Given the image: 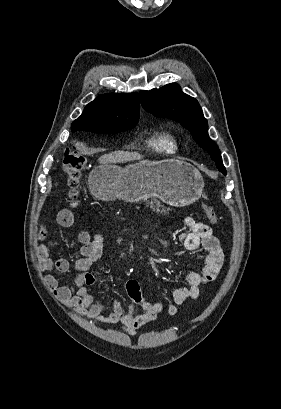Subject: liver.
Segmentation results:
<instances>
[{"mask_svg": "<svg viewBox=\"0 0 281 409\" xmlns=\"http://www.w3.org/2000/svg\"><path fill=\"white\" fill-rule=\"evenodd\" d=\"M139 158H143V154H139V152L115 150V152H110V154H102L98 160L101 164H106V162H127V160H139Z\"/></svg>", "mask_w": 281, "mask_h": 409, "instance_id": "liver-1", "label": "liver"}]
</instances>
